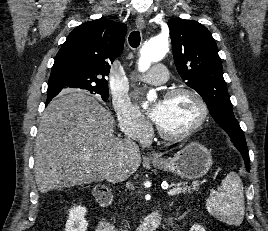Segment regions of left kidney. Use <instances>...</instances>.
<instances>
[{
    "instance_id": "obj_1",
    "label": "left kidney",
    "mask_w": 268,
    "mask_h": 231,
    "mask_svg": "<svg viewBox=\"0 0 268 231\" xmlns=\"http://www.w3.org/2000/svg\"><path fill=\"white\" fill-rule=\"evenodd\" d=\"M190 231H205V229L202 226L198 225V224H194L191 227Z\"/></svg>"
}]
</instances>
